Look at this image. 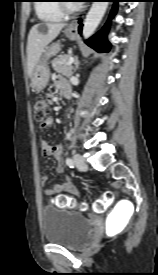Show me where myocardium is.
Masks as SVG:
<instances>
[{
	"label": "myocardium",
	"instance_id": "f54148a6",
	"mask_svg": "<svg viewBox=\"0 0 158 275\" xmlns=\"http://www.w3.org/2000/svg\"><path fill=\"white\" fill-rule=\"evenodd\" d=\"M62 2H64V1H62ZM59 7H60V10L63 13H66V14L73 13V12H75V11H77L79 9L78 6L72 5V4H68V3H60Z\"/></svg>",
	"mask_w": 158,
	"mask_h": 275
}]
</instances>
